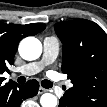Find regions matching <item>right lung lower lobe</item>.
I'll return each instance as SVG.
<instances>
[{
  "label": "right lung lower lobe",
  "mask_w": 107,
  "mask_h": 107,
  "mask_svg": "<svg viewBox=\"0 0 107 107\" xmlns=\"http://www.w3.org/2000/svg\"><path fill=\"white\" fill-rule=\"evenodd\" d=\"M38 89L36 80H29L26 85L9 81L0 87V107H19L23 100L35 96Z\"/></svg>",
  "instance_id": "obj_1"
}]
</instances>
